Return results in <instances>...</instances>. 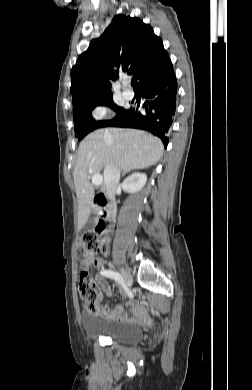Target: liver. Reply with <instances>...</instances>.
Wrapping results in <instances>:
<instances>
[{
  "instance_id": "6515ba94",
  "label": "liver",
  "mask_w": 252,
  "mask_h": 390,
  "mask_svg": "<svg viewBox=\"0 0 252 390\" xmlns=\"http://www.w3.org/2000/svg\"><path fill=\"white\" fill-rule=\"evenodd\" d=\"M164 151L161 140L145 131L132 129H99L81 141L74 168V184L79 203L78 229L91 213L94 189L89 170L100 174L108 164L120 170H139L156 164Z\"/></svg>"
}]
</instances>
